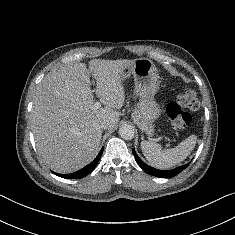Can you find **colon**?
Listing matches in <instances>:
<instances>
[{
    "mask_svg": "<svg viewBox=\"0 0 235 235\" xmlns=\"http://www.w3.org/2000/svg\"><path fill=\"white\" fill-rule=\"evenodd\" d=\"M199 101L196 92L191 88H185L174 102L168 104L166 113L177 130H185L192 123V116L187 110H197Z\"/></svg>",
    "mask_w": 235,
    "mask_h": 235,
    "instance_id": "obj_1",
    "label": "colon"
}]
</instances>
